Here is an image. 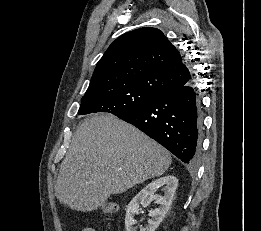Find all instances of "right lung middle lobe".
<instances>
[{
    "label": "right lung middle lobe",
    "instance_id": "dd1d6c3e",
    "mask_svg": "<svg viewBox=\"0 0 261 231\" xmlns=\"http://www.w3.org/2000/svg\"><path fill=\"white\" fill-rule=\"evenodd\" d=\"M157 97L135 86L85 93L78 114L109 112L119 117L147 105Z\"/></svg>",
    "mask_w": 261,
    "mask_h": 231
}]
</instances>
